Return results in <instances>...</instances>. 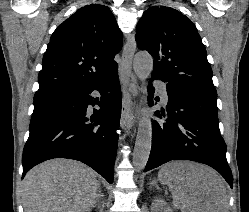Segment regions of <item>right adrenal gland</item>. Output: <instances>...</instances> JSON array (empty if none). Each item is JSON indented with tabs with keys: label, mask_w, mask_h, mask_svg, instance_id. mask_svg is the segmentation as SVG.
<instances>
[{
	"label": "right adrenal gland",
	"mask_w": 249,
	"mask_h": 212,
	"mask_svg": "<svg viewBox=\"0 0 249 212\" xmlns=\"http://www.w3.org/2000/svg\"><path fill=\"white\" fill-rule=\"evenodd\" d=\"M98 198H96L94 204H93V208H96V206H98V202H99V198H101V192L99 190L98 194H97Z\"/></svg>",
	"instance_id": "right-adrenal-gland-1"
}]
</instances>
